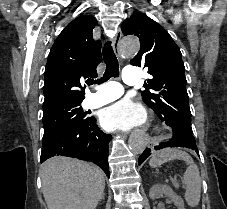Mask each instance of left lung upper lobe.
<instances>
[{"label":"left lung upper lobe","mask_w":227,"mask_h":209,"mask_svg":"<svg viewBox=\"0 0 227 209\" xmlns=\"http://www.w3.org/2000/svg\"><path fill=\"white\" fill-rule=\"evenodd\" d=\"M121 29L124 35H135L140 40V50L130 64L148 68L152 76L143 85L144 103L168 126L195 139L179 47L164 28L143 13L126 19Z\"/></svg>","instance_id":"obj_1"}]
</instances>
